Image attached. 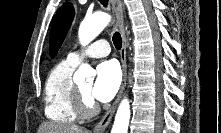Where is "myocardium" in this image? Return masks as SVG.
<instances>
[{
  "instance_id": "obj_1",
  "label": "myocardium",
  "mask_w": 221,
  "mask_h": 133,
  "mask_svg": "<svg viewBox=\"0 0 221 133\" xmlns=\"http://www.w3.org/2000/svg\"><path fill=\"white\" fill-rule=\"evenodd\" d=\"M74 108L81 118H90L97 112L96 105L91 97L86 96L79 86H75L73 95Z\"/></svg>"
}]
</instances>
